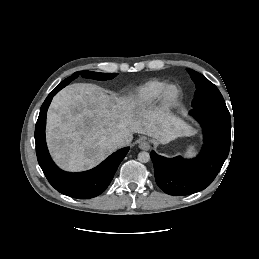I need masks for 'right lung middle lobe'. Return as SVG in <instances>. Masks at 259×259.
Listing matches in <instances>:
<instances>
[{"label":"right lung middle lobe","instance_id":"obj_1","mask_svg":"<svg viewBox=\"0 0 259 259\" xmlns=\"http://www.w3.org/2000/svg\"><path fill=\"white\" fill-rule=\"evenodd\" d=\"M79 75L85 78H92L96 80H110L114 78L117 73H99V72H91V71H79L75 72L72 76L68 77L64 81H62L59 85L66 86L68 85L71 81L76 79Z\"/></svg>","mask_w":259,"mask_h":259}]
</instances>
